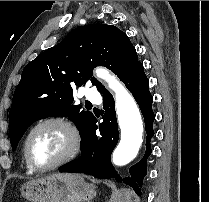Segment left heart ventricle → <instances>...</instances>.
I'll return each instance as SVG.
<instances>
[{
  "label": "left heart ventricle",
  "instance_id": "1",
  "mask_svg": "<svg viewBox=\"0 0 209 202\" xmlns=\"http://www.w3.org/2000/svg\"><path fill=\"white\" fill-rule=\"evenodd\" d=\"M65 133L56 125H46L31 137L29 150L32 160L39 166L54 162L67 148Z\"/></svg>",
  "mask_w": 209,
  "mask_h": 202
}]
</instances>
